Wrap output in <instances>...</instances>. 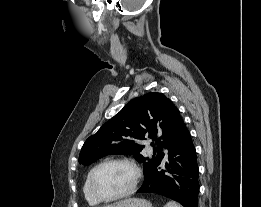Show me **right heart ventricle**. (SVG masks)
<instances>
[{
	"instance_id": "e07e8e85",
	"label": "right heart ventricle",
	"mask_w": 261,
	"mask_h": 207,
	"mask_svg": "<svg viewBox=\"0 0 261 207\" xmlns=\"http://www.w3.org/2000/svg\"><path fill=\"white\" fill-rule=\"evenodd\" d=\"M93 170V168L88 172L84 184H83V194L84 197L87 201V203L91 206H95L97 205L99 202L93 197V195L91 194L90 188H89V178H90V174L91 171Z\"/></svg>"
}]
</instances>
